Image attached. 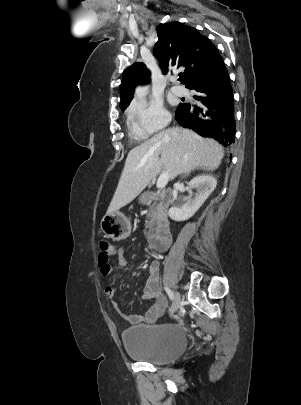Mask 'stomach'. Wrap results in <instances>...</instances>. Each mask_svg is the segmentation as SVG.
<instances>
[{
    "mask_svg": "<svg viewBox=\"0 0 301 405\" xmlns=\"http://www.w3.org/2000/svg\"><path fill=\"white\" fill-rule=\"evenodd\" d=\"M100 227L105 236L115 241L123 240L131 233L130 219L119 211L107 213L102 218Z\"/></svg>",
    "mask_w": 301,
    "mask_h": 405,
    "instance_id": "obj_1",
    "label": "stomach"
}]
</instances>
